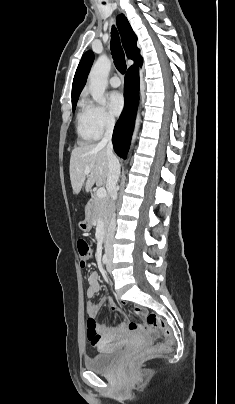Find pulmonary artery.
Returning a JSON list of instances; mask_svg holds the SVG:
<instances>
[{
  "label": "pulmonary artery",
  "instance_id": "1",
  "mask_svg": "<svg viewBox=\"0 0 235 404\" xmlns=\"http://www.w3.org/2000/svg\"><path fill=\"white\" fill-rule=\"evenodd\" d=\"M109 83L112 87L117 88L121 85V81L117 76H113L110 78Z\"/></svg>",
  "mask_w": 235,
  "mask_h": 404
}]
</instances>
